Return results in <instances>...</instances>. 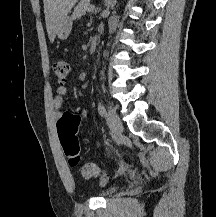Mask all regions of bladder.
<instances>
[{
	"instance_id": "31cf9c89",
	"label": "bladder",
	"mask_w": 216,
	"mask_h": 217,
	"mask_svg": "<svg viewBox=\"0 0 216 217\" xmlns=\"http://www.w3.org/2000/svg\"><path fill=\"white\" fill-rule=\"evenodd\" d=\"M121 186H113L105 191H103L102 193H100L101 196L107 198V197H111L113 195H115L119 190H120Z\"/></svg>"
}]
</instances>
